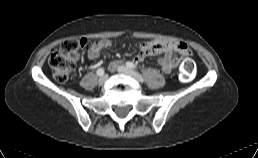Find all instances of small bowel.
<instances>
[{
    "label": "small bowel",
    "mask_w": 258,
    "mask_h": 158,
    "mask_svg": "<svg viewBox=\"0 0 258 158\" xmlns=\"http://www.w3.org/2000/svg\"><path fill=\"white\" fill-rule=\"evenodd\" d=\"M112 46V41L108 39H102L92 44L88 50L87 57L90 60H96L100 55L108 48ZM137 54L134 56L135 62H142L147 57L160 55L158 64L164 73H170L174 68L181 65L186 56H189L191 51L189 46L181 41L157 39L149 42H143L136 45ZM119 61H113L110 63V69L114 70Z\"/></svg>",
    "instance_id": "c3829d8e"
}]
</instances>
